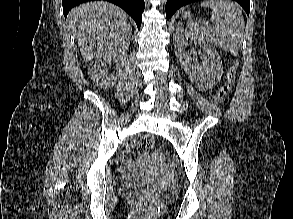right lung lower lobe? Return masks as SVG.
I'll list each match as a JSON object with an SVG mask.
<instances>
[{"label":"right lung lower lobe","mask_w":293,"mask_h":219,"mask_svg":"<svg viewBox=\"0 0 293 219\" xmlns=\"http://www.w3.org/2000/svg\"><path fill=\"white\" fill-rule=\"evenodd\" d=\"M87 1H93V0H62L63 4V13L66 17L68 12L71 10V8L79 5L80 3H84ZM112 2L119 7H121L123 10H125L136 22L137 27L139 28L142 21V12L144 11L145 3L144 0H105Z\"/></svg>","instance_id":"obj_1"}]
</instances>
